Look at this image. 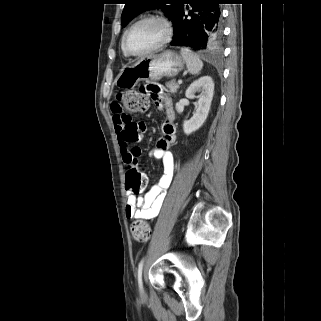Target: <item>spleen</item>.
<instances>
[{"label": "spleen", "instance_id": "obj_1", "mask_svg": "<svg viewBox=\"0 0 321 321\" xmlns=\"http://www.w3.org/2000/svg\"><path fill=\"white\" fill-rule=\"evenodd\" d=\"M181 55L186 62L187 69L191 74H197L203 67V62L200 60L198 55L193 53L189 48H181Z\"/></svg>", "mask_w": 321, "mask_h": 321}]
</instances>
